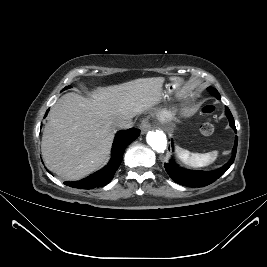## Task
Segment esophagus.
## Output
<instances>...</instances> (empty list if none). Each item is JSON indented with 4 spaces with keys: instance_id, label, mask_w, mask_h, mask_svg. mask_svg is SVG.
<instances>
[{
    "instance_id": "obj_1",
    "label": "esophagus",
    "mask_w": 267,
    "mask_h": 267,
    "mask_svg": "<svg viewBox=\"0 0 267 267\" xmlns=\"http://www.w3.org/2000/svg\"><path fill=\"white\" fill-rule=\"evenodd\" d=\"M149 129H150V122H149L148 118H145V119L142 120V122L140 124L141 133L144 134Z\"/></svg>"
}]
</instances>
